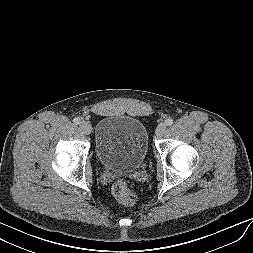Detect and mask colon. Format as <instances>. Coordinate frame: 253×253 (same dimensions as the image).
I'll list each match as a JSON object with an SVG mask.
<instances>
[{"label": "colon", "mask_w": 253, "mask_h": 253, "mask_svg": "<svg viewBox=\"0 0 253 253\" xmlns=\"http://www.w3.org/2000/svg\"><path fill=\"white\" fill-rule=\"evenodd\" d=\"M111 191L116 200L125 206H132L136 202V193L125 179L114 182Z\"/></svg>", "instance_id": "5ec220e1"}]
</instances>
